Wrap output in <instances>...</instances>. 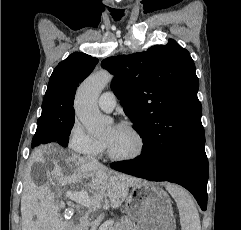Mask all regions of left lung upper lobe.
<instances>
[{"instance_id": "left-lung-upper-lobe-1", "label": "left lung upper lobe", "mask_w": 241, "mask_h": 230, "mask_svg": "<svg viewBox=\"0 0 241 230\" xmlns=\"http://www.w3.org/2000/svg\"><path fill=\"white\" fill-rule=\"evenodd\" d=\"M102 67L114 74L112 90L143 144L157 140L173 148L205 143L195 64L175 40L109 57Z\"/></svg>"}]
</instances>
